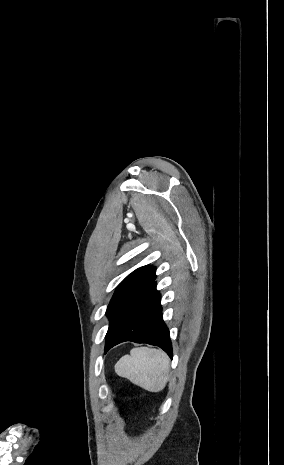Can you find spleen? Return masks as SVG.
<instances>
[{"instance_id":"1","label":"spleen","mask_w":284,"mask_h":465,"mask_svg":"<svg viewBox=\"0 0 284 465\" xmlns=\"http://www.w3.org/2000/svg\"><path fill=\"white\" fill-rule=\"evenodd\" d=\"M169 357L164 351L136 347L130 355L122 357L115 365L119 377L129 379L134 385L150 393H159L166 387L169 379Z\"/></svg>"}]
</instances>
